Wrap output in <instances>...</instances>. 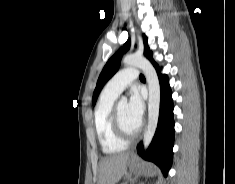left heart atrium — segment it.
Here are the masks:
<instances>
[{
  "mask_svg": "<svg viewBox=\"0 0 235 184\" xmlns=\"http://www.w3.org/2000/svg\"><path fill=\"white\" fill-rule=\"evenodd\" d=\"M128 111L130 118L140 127L143 122L144 102L137 89L131 91Z\"/></svg>",
  "mask_w": 235,
  "mask_h": 184,
  "instance_id": "obj_1",
  "label": "left heart atrium"
}]
</instances>
